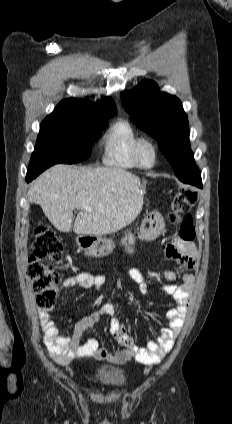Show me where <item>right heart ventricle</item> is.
Masks as SVG:
<instances>
[{
    "label": "right heart ventricle",
    "mask_w": 232,
    "mask_h": 424,
    "mask_svg": "<svg viewBox=\"0 0 232 424\" xmlns=\"http://www.w3.org/2000/svg\"><path fill=\"white\" fill-rule=\"evenodd\" d=\"M141 135L125 119L116 121L103 135V163L115 169L138 168L134 157V148Z\"/></svg>",
    "instance_id": "right-heart-ventricle-1"
}]
</instances>
